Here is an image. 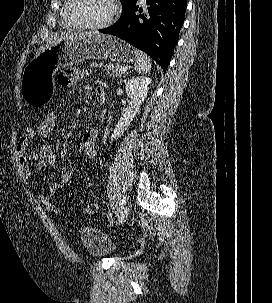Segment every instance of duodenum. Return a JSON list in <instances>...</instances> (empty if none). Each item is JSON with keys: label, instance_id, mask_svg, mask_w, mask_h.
Instances as JSON below:
<instances>
[{"label": "duodenum", "instance_id": "duodenum-1", "mask_svg": "<svg viewBox=\"0 0 272 303\" xmlns=\"http://www.w3.org/2000/svg\"><path fill=\"white\" fill-rule=\"evenodd\" d=\"M95 98L98 104H103L105 102V94L103 92H97Z\"/></svg>", "mask_w": 272, "mask_h": 303}]
</instances>
